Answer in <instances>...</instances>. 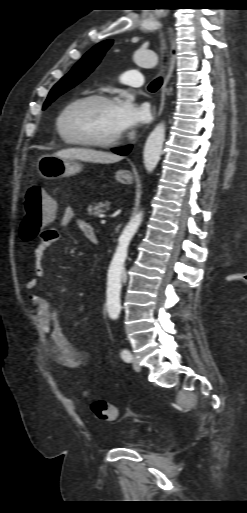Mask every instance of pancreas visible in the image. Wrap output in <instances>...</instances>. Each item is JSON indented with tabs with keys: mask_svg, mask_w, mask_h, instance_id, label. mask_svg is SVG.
I'll list each match as a JSON object with an SVG mask.
<instances>
[{
	"mask_svg": "<svg viewBox=\"0 0 247 513\" xmlns=\"http://www.w3.org/2000/svg\"><path fill=\"white\" fill-rule=\"evenodd\" d=\"M109 209H110L109 202H105V203H103V202H98V203L94 202L91 205H89L88 212L91 215L99 216L101 213H104V212H106Z\"/></svg>",
	"mask_w": 247,
	"mask_h": 513,
	"instance_id": "cf45deb5",
	"label": "pancreas"
}]
</instances>
